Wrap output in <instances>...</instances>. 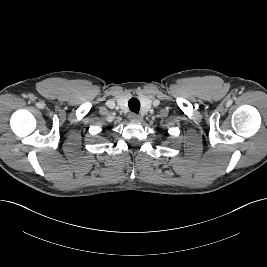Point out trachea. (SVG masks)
Masks as SVG:
<instances>
[{
  "mask_svg": "<svg viewBox=\"0 0 267 267\" xmlns=\"http://www.w3.org/2000/svg\"><path fill=\"white\" fill-rule=\"evenodd\" d=\"M128 106H129V109L134 113H138L140 110V102L137 98H131L128 101Z\"/></svg>",
  "mask_w": 267,
  "mask_h": 267,
  "instance_id": "1",
  "label": "trachea"
}]
</instances>
